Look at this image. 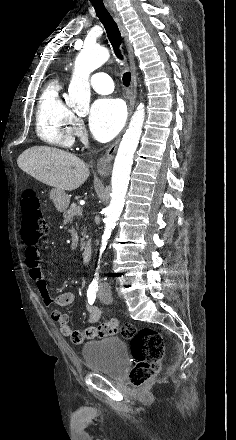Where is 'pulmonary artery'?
<instances>
[{"instance_id": "pulmonary-artery-1", "label": "pulmonary artery", "mask_w": 236, "mask_h": 440, "mask_svg": "<svg viewBox=\"0 0 236 440\" xmlns=\"http://www.w3.org/2000/svg\"><path fill=\"white\" fill-rule=\"evenodd\" d=\"M93 90L99 94H109L113 91V81L111 77L103 72H96L90 79Z\"/></svg>"}]
</instances>
